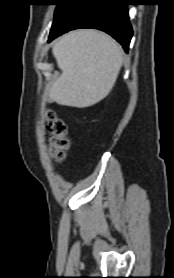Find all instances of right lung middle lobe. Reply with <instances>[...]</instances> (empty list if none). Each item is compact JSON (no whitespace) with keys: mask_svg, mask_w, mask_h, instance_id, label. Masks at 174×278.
Listing matches in <instances>:
<instances>
[{"mask_svg":"<svg viewBox=\"0 0 174 278\" xmlns=\"http://www.w3.org/2000/svg\"><path fill=\"white\" fill-rule=\"evenodd\" d=\"M79 1L80 0H56L55 5H57V8L52 28L57 27Z\"/></svg>","mask_w":174,"mask_h":278,"instance_id":"right-lung-middle-lobe-1","label":"right lung middle lobe"}]
</instances>
